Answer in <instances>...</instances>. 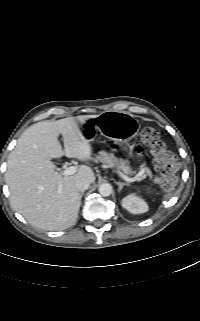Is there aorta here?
<instances>
[{
	"mask_svg": "<svg viewBox=\"0 0 200 321\" xmlns=\"http://www.w3.org/2000/svg\"><path fill=\"white\" fill-rule=\"evenodd\" d=\"M98 191L102 196L108 197L112 193V186L108 183H103L99 186Z\"/></svg>",
	"mask_w": 200,
	"mask_h": 321,
	"instance_id": "762f6f07",
	"label": "aorta"
}]
</instances>
